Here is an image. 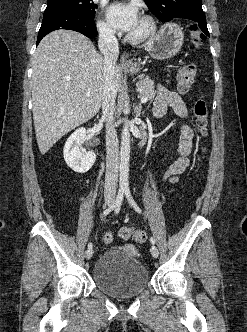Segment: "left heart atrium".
Here are the masks:
<instances>
[{
    "mask_svg": "<svg viewBox=\"0 0 247 332\" xmlns=\"http://www.w3.org/2000/svg\"><path fill=\"white\" fill-rule=\"evenodd\" d=\"M107 17L115 28L128 33L132 32L140 19L137 7L131 3L110 5L107 9Z\"/></svg>",
    "mask_w": 247,
    "mask_h": 332,
    "instance_id": "left-heart-atrium-1",
    "label": "left heart atrium"
}]
</instances>
